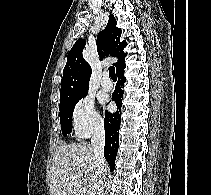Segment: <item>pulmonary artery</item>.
Returning <instances> with one entry per match:
<instances>
[{"mask_svg": "<svg viewBox=\"0 0 211 195\" xmlns=\"http://www.w3.org/2000/svg\"><path fill=\"white\" fill-rule=\"evenodd\" d=\"M101 86L106 91H110L113 88V82L109 78V75L107 72L104 73L101 79Z\"/></svg>", "mask_w": 211, "mask_h": 195, "instance_id": "1", "label": "pulmonary artery"}]
</instances>
